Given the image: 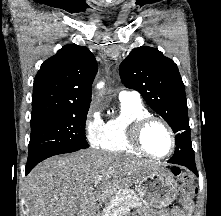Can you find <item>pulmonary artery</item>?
I'll use <instances>...</instances> for the list:
<instances>
[{"label":"pulmonary artery","instance_id":"e3ab8cb5","mask_svg":"<svg viewBox=\"0 0 221 216\" xmlns=\"http://www.w3.org/2000/svg\"><path fill=\"white\" fill-rule=\"evenodd\" d=\"M119 99L120 100H129V99L138 100L139 94L135 91L122 90L119 93Z\"/></svg>","mask_w":221,"mask_h":216}]
</instances>
